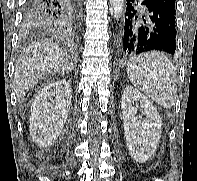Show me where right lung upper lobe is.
I'll return each mask as SVG.
<instances>
[{
  "mask_svg": "<svg viewBox=\"0 0 197 181\" xmlns=\"http://www.w3.org/2000/svg\"><path fill=\"white\" fill-rule=\"evenodd\" d=\"M32 28H35V29H49V28H46V27H40V26H34Z\"/></svg>",
  "mask_w": 197,
  "mask_h": 181,
  "instance_id": "1",
  "label": "right lung upper lobe"
}]
</instances>
